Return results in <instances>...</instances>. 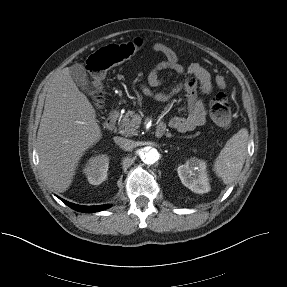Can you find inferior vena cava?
I'll list each match as a JSON object with an SVG mask.
<instances>
[{
	"label": "inferior vena cava",
	"mask_w": 287,
	"mask_h": 287,
	"mask_svg": "<svg viewBox=\"0 0 287 287\" xmlns=\"http://www.w3.org/2000/svg\"><path fill=\"white\" fill-rule=\"evenodd\" d=\"M114 141L117 145L120 146V148L126 150V151H130L134 148V141L130 140V139H126V138H122V137H114Z\"/></svg>",
	"instance_id": "1"
}]
</instances>
